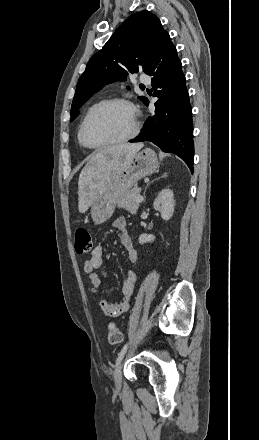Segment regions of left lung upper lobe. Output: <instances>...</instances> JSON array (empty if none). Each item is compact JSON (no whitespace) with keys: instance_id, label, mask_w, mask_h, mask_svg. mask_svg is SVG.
Listing matches in <instances>:
<instances>
[{"instance_id":"1","label":"left lung upper lobe","mask_w":259,"mask_h":440,"mask_svg":"<svg viewBox=\"0 0 259 440\" xmlns=\"http://www.w3.org/2000/svg\"><path fill=\"white\" fill-rule=\"evenodd\" d=\"M168 33L160 20L143 10L131 15L104 47L89 60L81 75L71 107V121L80 107L104 85L123 81L128 73H147ZM144 103L145 97H139Z\"/></svg>"}]
</instances>
